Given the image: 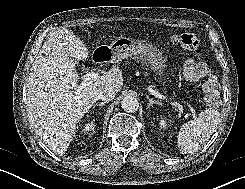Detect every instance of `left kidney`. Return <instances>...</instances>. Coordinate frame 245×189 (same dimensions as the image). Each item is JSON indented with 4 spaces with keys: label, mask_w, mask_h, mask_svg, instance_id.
<instances>
[{
    "label": "left kidney",
    "mask_w": 245,
    "mask_h": 189,
    "mask_svg": "<svg viewBox=\"0 0 245 189\" xmlns=\"http://www.w3.org/2000/svg\"><path fill=\"white\" fill-rule=\"evenodd\" d=\"M166 121L164 120V119H161L160 121H159V127L160 128H166Z\"/></svg>",
    "instance_id": "obj_1"
}]
</instances>
